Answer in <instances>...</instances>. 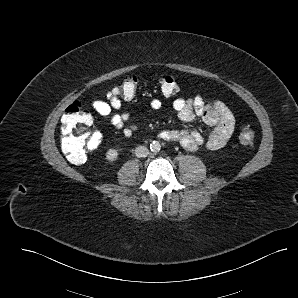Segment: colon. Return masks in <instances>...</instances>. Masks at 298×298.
<instances>
[{
    "label": "colon",
    "instance_id": "obj_1",
    "mask_svg": "<svg viewBox=\"0 0 298 298\" xmlns=\"http://www.w3.org/2000/svg\"><path fill=\"white\" fill-rule=\"evenodd\" d=\"M139 84L136 75H129L109 92V95L117 98L131 99L135 96ZM159 86L162 94L173 97L179 92L176 80L168 74L159 78ZM92 118L78 101L70 104L61 118L60 145L70 162L81 165L86 162L88 154L94 151L101 142L100 134L91 130ZM239 143L246 148L253 146L255 132L250 126H243L238 134Z\"/></svg>",
    "mask_w": 298,
    "mask_h": 298
}]
</instances>
